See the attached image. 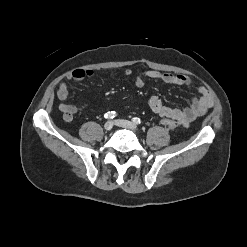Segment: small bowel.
<instances>
[{
    "instance_id": "small-bowel-1",
    "label": "small bowel",
    "mask_w": 247,
    "mask_h": 247,
    "mask_svg": "<svg viewBox=\"0 0 247 247\" xmlns=\"http://www.w3.org/2000/svg\"><path fill=\"white\" fill-rule=\"evenodd\" d=\"M123 74L125 76H130L132 72L131 70L127 69L124 70ZM92 75V70L75 69L67 76L65 81H61L59 83L57 88V97L60 100L59 109L63 113V119L65 122H71L74 118V115L79 111L77 106L68 103V82L72 80H83L84 78H89ZM146 78L161 81L171 85L186 87L191 85V80L187 76L149 70L143 74L137 75L134 78L135 86L142 88L145 85ZM198 93L199 96L194 98L191 105L184 109L167 107L163 105L162 101L157 96H153L149 99V106L151 110L159 116L175 120L179 124L188 127L196 118L204 115L213 105L212 98L206 88H198Z\"/></svg>"
}]
</instances>
